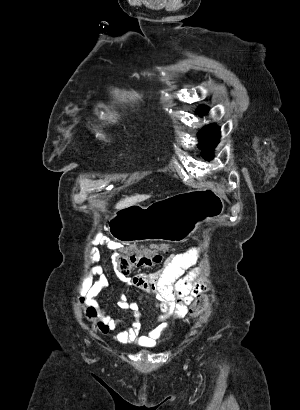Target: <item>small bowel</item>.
Here are the masks:
<instances>
[{"label":"small bowel","mask_w":300,"mask_h":410,"mask_svg":"<svg viewBox=\"0 0 300 410\" xmlns=\"http://www.w3.org/2000/svg\"><path fill=\"white\" fill-rule=\"evenodd\" d=\"M99 243L98 238L92 241L94 245ZM199 252L197 247H193L184 253L171 254L166 258L162 269L150 274L126 276L120 272L115 273L117 279L126 287H135L154 296L155 305L161 314L151 328L142 329L140 305L129 301L125 294L120 296L117 307L132 313L133 321L128 326L126 321L109 316L95 300L101 289L110 281L101 266L95 267L83 281L80 304L85 318L102 334L118 330L114 337L117 343H135L142 347L155 346L169 327L166 320L169 317H184L194 296L207 288V283L200 279ZM93 275L99 277L98 282H93Z\"/></svg>","instance_id":"obj_1"}]
</instances>
